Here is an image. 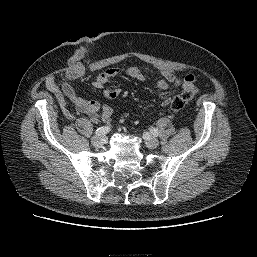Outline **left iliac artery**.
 <instances>
[{
    "instance_id": "left-iliac-artery-1",
    "label": "left iliac artery",
    "mask_w": 257,
    "mask_h": 257,
    "mask_svg": "<svg viewBox=\"0 0 257 257\" xmlns=\"http://www.w3.org/2000/svg\"><path fill=\"white\" fill-rule=\"evenodd\" d=\"M150 132L154 135V136H158V130L156 128H150Z\"/></svg>"
}]
</instances>
